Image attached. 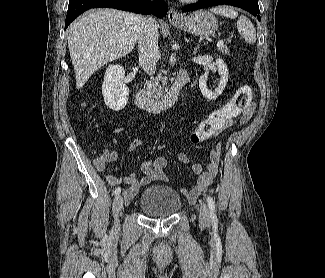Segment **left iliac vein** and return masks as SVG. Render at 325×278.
<instances>
[{"instance_id": "4c4485c4", "label": "left iliac vein", "mask_w": 325, "mask_h": 278, "mask_svg": "<svg viewBox=\"0 0 325 278\" xmlns=\"http://www.w3.org/2000/svg\"><path fill=\"white\" fill-rule=\"evenodd\" d=\"M200 222L204 225L208 224L210 221L209 211L205 203H202L199 210Z\"/></svg>"}]
</instances>
